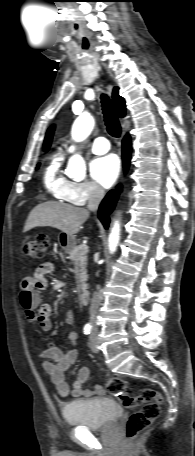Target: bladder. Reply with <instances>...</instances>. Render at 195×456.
Returning <instances> with one entry per match:
<instances>
[{
	"mask_svg": "<svg viewBox=\"0 0 195 456\" xmlns=\"http://www.w3.org/2000/svg\"><path fill=\"white\" fill-rule=\"evenodd\" d=\"M123 414V408L113 399L95 398L73 401L62 409L64 420L73 426L92 430L111 427Z\"/></svg>",
	"mask_w": 195,
	"mask_h": 456,
	"instance_id": "obj_1",
	"label": "bladder"
}]
</instances>
